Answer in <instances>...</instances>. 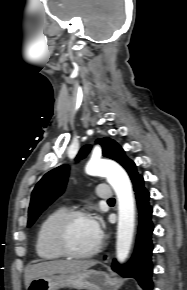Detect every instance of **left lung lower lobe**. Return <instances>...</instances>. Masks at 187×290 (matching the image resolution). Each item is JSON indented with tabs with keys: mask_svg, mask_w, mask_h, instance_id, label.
Segmentation results:
<instances>
[{
	"mask_svg": "<svg viewBox=\"0 0 187 290\" xmlns=\"http://www.w3.org/2000/svg\"><path fill=\"white\" fill-rule=\"evenodd\" d=\"M132 183L139 212V226L135 251L127 265H119L116 260H114L112 263V269L122 277L135 278L142 289L152 290V207L149 205V192L144 187L143 177L139 175Z\"/></svg>",
	"mask_w": 187,
	"mask_h": 290,
	"instance_id": "1",
	"label": "left lung lower lobe"
}]
</instances>
